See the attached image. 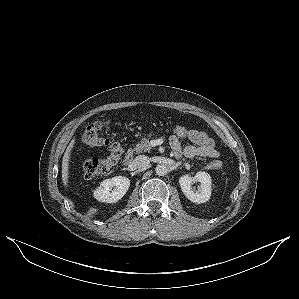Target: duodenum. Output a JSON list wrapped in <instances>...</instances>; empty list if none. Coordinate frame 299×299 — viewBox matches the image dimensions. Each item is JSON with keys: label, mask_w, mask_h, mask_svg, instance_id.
<instances>
[{"label": "duodenum", "mask_w": 299, "mask_h": 299, "mask_svg": "<svg viewBox=\"0 0 299 299\" xmlns=\"http://www.w3.org/2000/svg\"><path fill=\"white\" fill-rule=\"evenodd\" d=\"M133 158V153L131 150H128L123 158V165L128 166L131 164Z\"/></svg>", "instance_id": "410a0bca"}]
</instances>
